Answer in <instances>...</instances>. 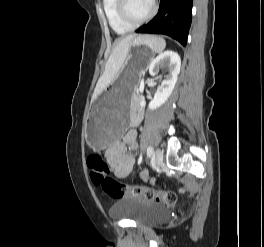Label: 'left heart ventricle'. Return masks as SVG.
<instances>
[{
    "mask_svg": "<svg viewBox=\"0 0 264 247\" xmlns=\"http://www.w3.org/2000/svg\"><path fill=\"white\" fill-rule=\"evenodd\" d=\"M151 0H128V11L134 19L144 17L150 10Z\"/></svg>",
    "mask_w": 264,
    "mask_h": 247,
    "instance_id": "left-heart-ventricle-1",
    "label": "left heart ventricle"
}]
</instances>
